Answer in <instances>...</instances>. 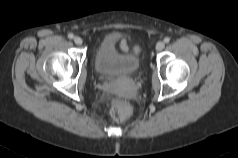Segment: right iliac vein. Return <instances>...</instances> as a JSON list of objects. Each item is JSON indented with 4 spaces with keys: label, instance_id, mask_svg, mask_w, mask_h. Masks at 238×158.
<instances>
[{
    "label": "right iliac vein",
    "instance_id": "obj_1",
    "mask_svg": "<svg viewBox=\"0 0 238 158\" xmlns=\"http://www.w3.org/2000/svg\"><path fill=\"white\" fill-rule=\"evenodd\" d=\"M74 42L77 45H81L83 41L79 36H76V37H74Z\"/></svg>",
    "mask_w": 238,
    "mask_h": 158
}]
</instances>
